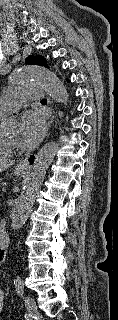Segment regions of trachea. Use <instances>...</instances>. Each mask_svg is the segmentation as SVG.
Instances as JSON below:
<instances>
[{"mask_svg": "<svg viewBox=\"0 0 118 320\" xmlns=\"http://www.w3.org/2000/svg\"><path fill=\"white\" fill-rule=\"evenodd\" d=\"M41 102H42V103H46L47 100H46V99H42Z\"/></svg>", "mask_w": 118, "mask_h": 320, "instance_id": "1", "label": "trachea"}]
</instances>
